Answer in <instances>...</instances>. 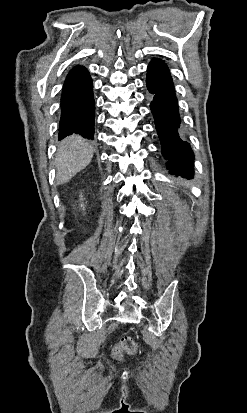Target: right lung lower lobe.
<instances>
[{"label": "right lung lower lobe", "mask_w": 247, "mask_h": 413, "mask_svg": "<svg viewBox=\"0 0 247 413\" xmlns=\"http://www.w3.org/2000/svg\"><path fill=\"white\" fill-rule=\"evenodd\" d=\"M60 107L59 140L73 133L93 139L95 102L92 79L85 67L76 66L67 75Z\"/></svg>", "instance_id": "obj_1"}]
</instances>
